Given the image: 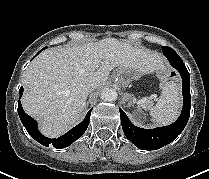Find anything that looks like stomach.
<instances>
[{
  "mask_svg": "<svg viewBox=\"0 0 209 179\" xmlns=\"http://www.w3.org/2000/svg\"><path fill=\"white\" fill-rule=\"evenodd\" d=\"M118 79L122 87H128L132 81L138 80L141 73L135 69H121L118 73Z\"/></svg>",
  "mask_w": 209,
  "mask_h": 179,
  "instance_id": "obj_1",
  "label": "stomach"
}]
</instances>
